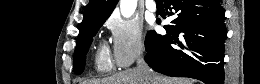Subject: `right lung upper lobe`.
Segmentation results:
<instances>
[{
  "label": "right lung upper lobe",
  "instance_id": "1",
  "mask_svg": "<svg viewBox=\"0 0 260 84\" xmlns=\"http://www.w3.org/2000/svg\"><path fill=\"white\" fill-rule=\"evenodd\" d=\"M117 2L118 0H90L84 11L79 35L93 23L106 20L114 10Z\"/></svg>",
  "mask_w": 260,
  "mask_h": 84
}]
</instances>
